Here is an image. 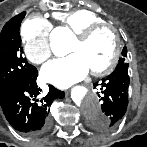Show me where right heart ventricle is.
<instances>
[{
	"label": "right heart ventricle",
	"instance_id": "1",
	"mask_svg": "<svg viewBox=\"0 0 147 147\" xmlns=\"http://www.w3.org/2000/svg\"><path fill=\"white\" fill-rule=\"evenodd\" d=\"M54 17L59 20L62 26L69 29L75 35L93 25L105 23V20L101 16L89 9H78L66 13H56Z\"/></svg>",
	"mask_w": 147,
	"mask_h": 147
}]
</instances>
